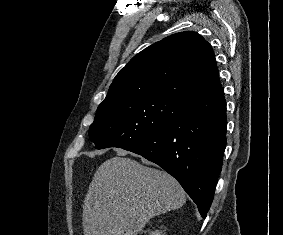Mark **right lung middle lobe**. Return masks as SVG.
Here are the masks:
<instances>
[{"mask_svg":"<svg viewBox=\"0 0 283 235\" xmlns=\"http://www.w3.org/2000/svg\"><path fill=\"white\" fill-rule=\"evenodd\" d=\"M182 102L165 97L127 98L99 105L89 129L96 149L124 148L163 130Z\"/></svg>","mask_w":283,"mask_h":235,"instance_id":"right-lung-middle-lobe-1","label":"right lung middle lobe"}]
</instances>
